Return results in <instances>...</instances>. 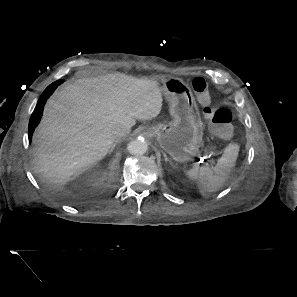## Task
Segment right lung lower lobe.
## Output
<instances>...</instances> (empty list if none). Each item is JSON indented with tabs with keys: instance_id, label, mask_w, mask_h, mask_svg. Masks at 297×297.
<instances>
[{
	"instance_id": "1",
	"label": "right lung lower lobe",
	"mask_w": 297,
	"mask_h": 297,
	"mask_svg": "<svg viewBox=\"0 0 297 297\" xmlns=\"http://www.w3.org/2000/svg\"><path fill=\"white\" fill-rule=\"evenodd\" d=\"M53 91L51 90H46L43 92V94L41 95V97L38 100V103L33 111V114L30 118L29 121V128H28V134H29V138L30 141L32 139V134L36 128V126L39 124L42 114H43V106L45 105V102L48 98V96L52 93Z\"/></svg>"
}]
</instances>
